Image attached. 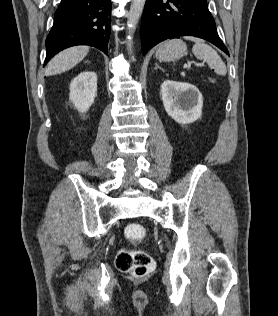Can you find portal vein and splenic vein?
Segmentation results:
<instances>
[{
	"mask_svg": "<svg viewBox=\"0 0 278 316\" xmlns=\"http://www.w3.org/2000/svg\"><path fill=\"white\" fill-rule=\"evenodd\" d=\"M195 66H203V63H195ZM187 67V65H185Z\"/></svg>",
	"mask_w": 278,
	"mask_h": 316,
	"instance_id": "portal-vein-and-splenic-vein-1",
	"label": "portal vein and splenic vein"
}]
</instances>
